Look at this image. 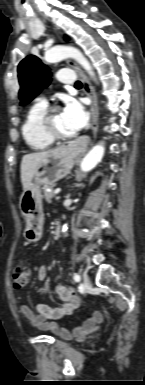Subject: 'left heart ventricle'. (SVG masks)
Here are the masks:
<instances>
[{"label":"left heart ventricle","instance_id":"left-heart-ventricle-1","mask_svg":"<svg viewBox=\"0 0 145 385\" xmlns=\"http://www.w3.org/2000/svg\"><path fill=\"white\" fill-rule=\"evenodd\" d=\"M52 126L53 129L62 135H71L74 132L68 127L67 123L65 122L62 112L57 111L53 118H52Z\"/></svg>","mask_w":145,"mask_h":385}]
</instances>
